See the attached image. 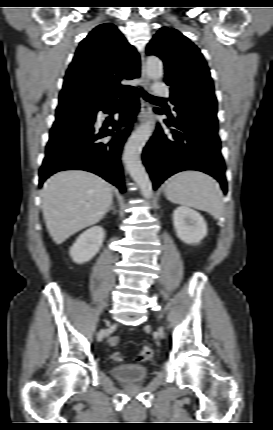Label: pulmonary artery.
<instances>
[{
  "instance_id": "pulmonary-artery-1",
  "label": "pulmonary artery",
  "mask_w": 273,
  "mask_h": 430,
  "mask_svg": "<svg viewBox=\"0 0 273 430\" xmlns=\"http://www.w3.org/2000/svg\"><path fill=\"white\" fill-rule=\"evenodd\" d=\"M156 94L159 96L167 97L169 95V90L163 83H157Z\"/></svg>"
}]
</instances>
